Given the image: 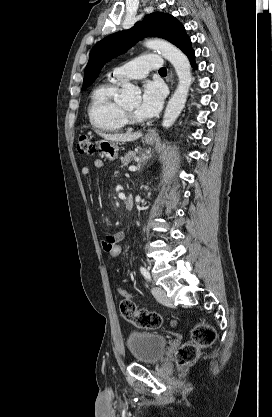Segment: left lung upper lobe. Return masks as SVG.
<instances>
[{"label":"left lung upper lobe","instance_id":"1","mask_svg":"<svg viewBox=\"0 0 272 417\" xmlns=\"http://www.w3.org/2000/svg\"><path fill=\"white\" fill-rule=\"evenodd\" d=\"M147 36L167 39L184 53L191 49V40L184 26L173 16L153 12L137 22L133 28L112 34L99 41L91 50L85 68L83 89L89 87L99 75L101 68L112 58L126 52L137 41Z\"/></svg>","mask_w":272,"mask_h":417}]
</instances>
